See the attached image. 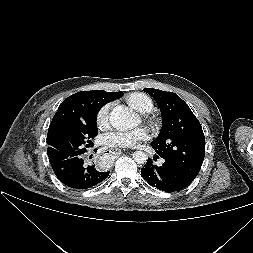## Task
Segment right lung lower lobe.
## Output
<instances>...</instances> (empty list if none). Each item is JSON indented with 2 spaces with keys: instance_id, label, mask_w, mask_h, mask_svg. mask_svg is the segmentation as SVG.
Instances as JSON below:
<instances>
[{
  "instance_id": "right-lung-lower-lobe-1",
  "label": "right lung lower lobe",
  "mask_w": 253,
  "mask_h": 253,
  "mask_svg": "<svg viewBox=\"0 0 253 253\" xmlns=\"http://www.w3.org/2000/svg\"><path fill=\"white\" fill-rule=\"evenodd\" d=\"M84 153L58 159L49 158L57 178L70 188L87 189L102 182L109 175V172L101 171L94 164L87 165Z\"/></svg>"
}]
</instances>
